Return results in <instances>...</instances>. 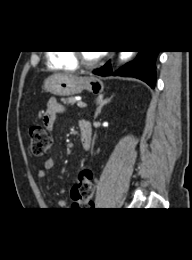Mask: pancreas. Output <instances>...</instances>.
<instances>
[{
    "mask_svg": "<svg viewBox=\"0 0 192 260\" xmlns=\"http://www.w3.org/2000/svg\"><path fill=\"white\" fill-rule=\"evenodd\" d=\"M61 101L64 103V104H74L76 102V100L74 99V97H69V98H62Z\"/></svg>",
    "mask_w": 192,
    "mask_h": 260,
    "instance_id": "cf45deb5",
    "label": "pancreas"
}]
</instances>
